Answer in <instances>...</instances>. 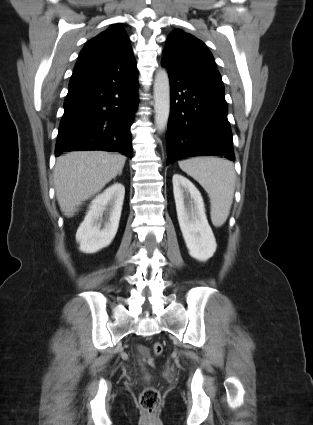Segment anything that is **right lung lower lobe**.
Returning a JSON list of instances; mask_svg holds the SVG:
<instances>
[{
	"label": "right lung lower lobe",
	"mask_w": 313,
	"mask_h": 425,
	"mask_svg": "<svg viewBox=\"0 0 313 425\" xmlns=\"http://www.w3.org/2000/svg\"><path fill=\"white\" fill-rule=\"evenodd\" d=\"M137 78L136 65L74 68L55 156L97 149L132 157L130 127L138 104Z\"/></svg>",
	"instance_id": "right-lung-lower-lobe-1"
}]
</instances>
